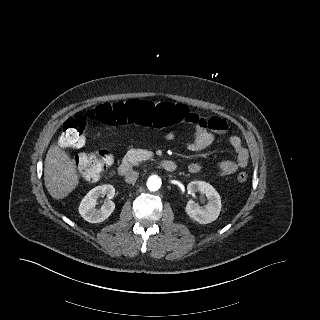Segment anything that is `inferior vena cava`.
<instances>
[{
    "label": "inferior vena cava",
    "mask_w": 320,
    "mask_h": 320,
    "mask_svg": "<svg viewBox=\"0 0 320 320\" xmlns=\"http://www.w3.org/2000/svg\"><path fill=\"white\" fill-rule=\"evenodd\" d=\"M138 176H139V173L138 172H136V171H129L127 174H126V176H125V181L127 182V183H135L136 182V180H137V178H138Z\"/></svg>",
    "instance_id": "602c4592"
}]
</instances>
